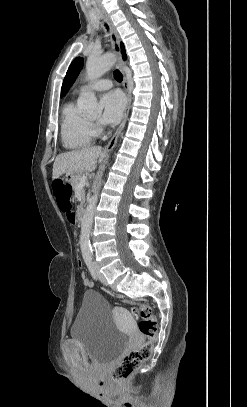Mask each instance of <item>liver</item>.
Wrapping results in <instances>:
<instances>
[{"instance_id": "6515ba94", "label": "liver", "mask_w": 247, "mask_h": 407, "mask_svg": "<svg viewBox=\"0 0 247 407\" xmlns=\"http://www.w3.org/2000/svg\"><path fill=\"white\" fill-rule=\"evenodd\" d=\"M105 153L101 147H85L58 155L53 165L52 178L55 180L64 173L82 174L96 169L97 159L103 160Z\"/></svg>"}]
</instances>
